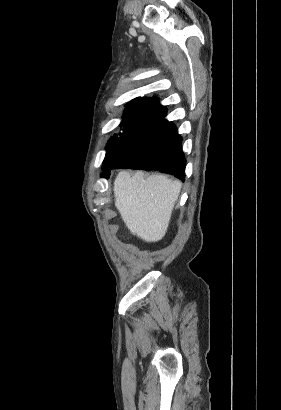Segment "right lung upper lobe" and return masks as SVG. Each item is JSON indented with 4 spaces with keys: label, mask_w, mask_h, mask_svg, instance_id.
Wrapping results in <instances>:
<instances>
[{
    "label": "right lung upper lobe",
    "mask_w": 281,
    "mask_h": 410,
    "mask_svg": "<svg viewBox=\"0 0 281 410\" xmlns=\"http://www.w3.org/2000/svg\"><path fill=\"white\" fill-rule=\"evenodd\" d=\"M127 106H147V107H153L157 109H163L166 110L164 106H162L157 99L155 98H135L132 100V102L128 103Z\"/></svg>",
    "instance_id": "cb5924a9"
}]
</instances>
